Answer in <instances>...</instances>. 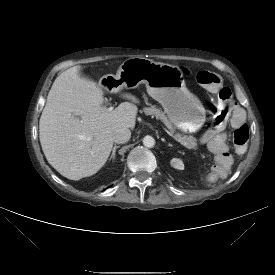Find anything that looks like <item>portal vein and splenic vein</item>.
<instances>
[{"mask_svg":"<svg viewBox=\"0 0 275 275\" xmlns=\"http://www.w3.org/2000/svg\"><path fill=\"white\" fill-rule=\"evenodd\" d=\"M113 108L112 107H109L108 108V110L109 111H111ZM164 130H165V132L169 135V136H171L172 138H174L176 141H179L180 142V140H179V138L177 137V136H175V135H173L171 132H169L166 128H163Z\"/></svg>","mask_w":275,"mask_h":275,"instance_id":"1","label":"portal vein and splenic vein"}]
</instances>
